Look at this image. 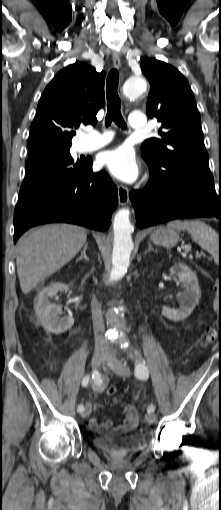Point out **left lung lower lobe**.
<instances>
[{"instance_id": "0a47b994", "label": "left lung lower lobe", "mask_w": 221, "mask_h": 510, "mask_svg": "<svg viewBox=\"0 0 221 510\" xmlns=\"http://www.w3.org/2000/svg\"><path fill=\"white\" fill-rule=\"evenodd\" d=\"M151 172V171H150ZM139 228L182 218L217 217L221 222V191L184 184L162 187L152 172L147 185L129 194Z\"/></svg>"}]
</instances>
